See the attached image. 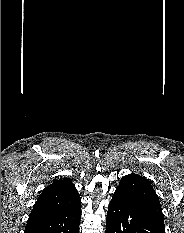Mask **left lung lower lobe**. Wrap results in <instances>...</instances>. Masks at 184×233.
Returning a JSON list of instances; mask_svg holds the SVG:
<instances>
[{"label":"left lung lower lobe","instance_id":"left-lung-lower-lobe-1","mask_svg":"<svg viewBox=\"0 0 184 233\" xmlns=\"http://www.w3.org/2000/svg\"><path fill=\"white\" fill-rule=\"evenodd\" d=\"M106 233H165L159 230L149 216L123 195L114 194L110 201Z\"/></svg>","mask_w":184,"mask_h":233}]
</instances>
